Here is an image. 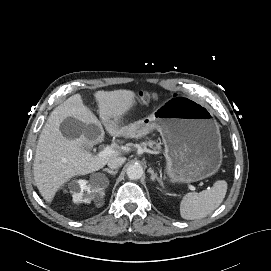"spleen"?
I'll list each match as a JSON object with an SVG mask.
<instances>
[{
    "label": "spleen",
    "instance_id": "obj_1",
    "mask_svg": "<svg viewBox=\"0 0 271 271\" xmlns=\"http://www.w3.org/2000/svg\"><path fill=\"white\" fill-rule=\"evenodd\" d=\"M227 192V182L219 180L211 188L200 193L189 192L180 202V215L183 219L194 220L204 218L223 202Z\"/></svg>",
    "mask_w": 271,
    "mask_h": 271
}]
</instances>
